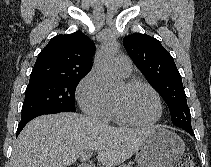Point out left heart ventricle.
<instances>
[{
    "instance_id": "1",
    "label": "left heart ventricle",
    "mask_w": 211,
    "mask_h": 167,
    "mask_svg": "<svg viewBox=\"0 0 211 167\" xmlns=\"http://www.w3.org/2000/svg\"><path fill=\"white\" fill-rule=\"evenodd\" d=\"M112 99L127 116L139 122H149L158 114L155 96L143 87L131 89L123 84L113 93Z\"/></svg>"
}]
</instances>
